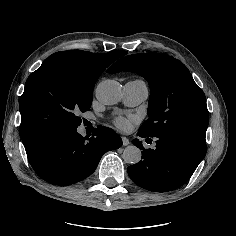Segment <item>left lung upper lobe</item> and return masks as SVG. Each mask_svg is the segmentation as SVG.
I'll return each instance as SVG.
<instances>
[{
	"mask_svg": "<svg viewBox=\"0 0 236 236\" xmlns=\"http://www.w3.org/2000/svg\"><path fill=\"white\" fill-rule=\"evenodd\" d=\"M120 71L137 73L150 86L149 119L138 134L153 137L171 132L205 141L209 123L206 97L182 62L155 52L133 54L107 70L108 73Z\"/></svg>",
	"mask_w": 236,
	"mask_h": 236,
	"instance_id": "left-lung-upper-lobe-1",
	"label": "left lung upper lobe"
}]
</instances>
